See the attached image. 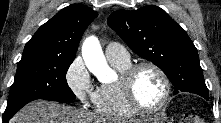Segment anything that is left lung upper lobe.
<instances>
[{"instance_id": "obj_1", "label": "left lung upper lobe", "mask_w": 221, "mask_h": 123, "mask_svg": "<svg viewBox=\"0 0 221 123\" xmlns=\"http://www.w3.org/2000/svg\"><path fill=\"white\" fill-rule=\"evenodd\" d=\"M127 45L142 58L158 66L179 91L208 99L197 49L185 30L158 6L134 11L118 10L108 18Z\"/></svg>"}]
</instances>
